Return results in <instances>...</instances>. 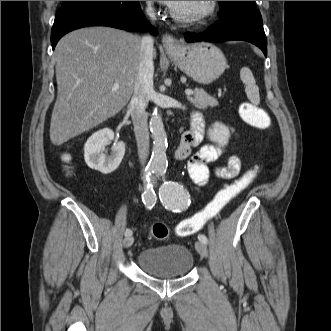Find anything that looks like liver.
<instances>
[{
  "mask_svg": "<svg viewBox=\"0 0 331 331\" xmlns=\"http://www.w3.org/2000/svg\"><path fill=\"white\" fill-rule=\"evenodd\" d=\"M140 47L139 36L109 27L82 28L59 40L54 52L58 91L50 123L54 145L99 125L127 105L138 76Z\"/></svg>",
  "mask_w": 331,
  "mask_h": 331,
  "instance_id": "liver-1",
  "label": "liver"
}]
</instances>
